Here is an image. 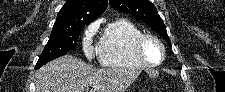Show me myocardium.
<instances>
[{
	"label": "myocardium",
	"instance_id": "1",
	"mask_svg": "<svg viewBox=\"0 0 225 92\" xmlns=\"http://www.w3.org/2000/svg\"><path fill=\"white\" fill-rule=\"evenodd\" d=\"M147 42H153L159 47L161 55H160V59L158 61L152 62L147 59L145 52H144V47ZM134 47H135V51H136V54H137L139 60L141 61V63L144 66L156 68V67L160 66L165 59V47H164L163 43L156 36H153L150 34H142L136 40Z\"/></svg>",
	"mask_w": 225,
	"mask_h": 92
}]
</instances>
